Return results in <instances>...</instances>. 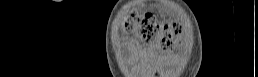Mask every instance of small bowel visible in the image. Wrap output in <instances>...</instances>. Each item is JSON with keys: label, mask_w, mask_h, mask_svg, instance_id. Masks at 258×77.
<instances>
[{"label": "small bowel", "mask_w": 258, "mask_h": 77, "mask_svg": "<svg viewBox=\"0 0 258 77\" xmlns=\"http://www.w3.org/2000/svg\"><path fill=\"white\" fill-rule=\"evenodd\" d=\"M129 47L136 54H140L142 52L141 48L139 47L137 42L134 40L129 41Z\"/></svg>", "instance_id": "1"}]
</instances>
